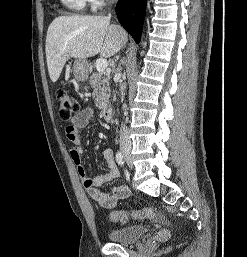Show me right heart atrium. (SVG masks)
<instances>
[{
	"label": "right heart atrium",
	"mask_w": 247,
	"mask_h": 257,
	"mask_svg": "<svg viewBox=\"0 0 247 257\" xmlns=\"http://www.w3.org/2000/svg\"><path fill=\"white\" fill-rule=\"evenodd\" d=\"M106 0H86L92 10L98 9Z\"/></svg>",
	"instance_id": "right-heart-atrium-1"
}]
</instances>
